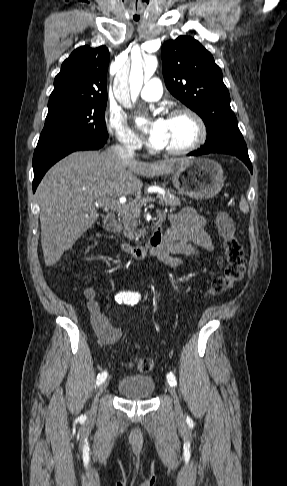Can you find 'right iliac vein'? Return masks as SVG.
Listing matches in <instances>:
<instances>
[{
  "mask_svg": "<svg viewBox=\"0 0 287 486\" xmlns=\"http://www.w3.org/2000/svg\"><path fill=\"white\" fill-rule=\"evenodd\" d=\"M108 386V382L105 381L104 383H102V385L100 386L98 392H97V397H96V400L94 401V406H93V410L96 411L97 409V398L99 397V395L107 388Z\"/></svg>",
  "mask_w": 287,
  "mask_h": 486,
  "instance_id": "right-iliac-vein-1",
  "label": "right iliac vein"
}]
</instances>
